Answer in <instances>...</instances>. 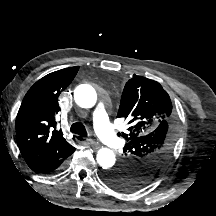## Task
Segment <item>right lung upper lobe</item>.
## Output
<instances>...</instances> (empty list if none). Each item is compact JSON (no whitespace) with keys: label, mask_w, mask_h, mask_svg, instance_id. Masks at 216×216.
<instances>
[{"label":"right lung upper lobe","mask_w":216,"mask_h":216,"mask_svg":"<svg viewBox=\"0 0 216 216\" xmlns=\"http://www.w3.org/2000/svg\"><path fill=\"white\" fill-rule=\"evenodd\" d=\"M78 66L52 72L37 81L25 95L16 117V138L22 156L34 172L67 158L75 147L56 130L58 96L67 88Z\"/></svg>","instance_id":"obj_1"}]
</instances>
